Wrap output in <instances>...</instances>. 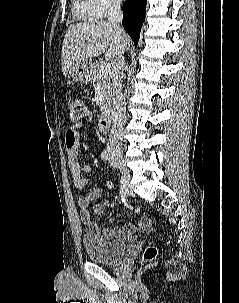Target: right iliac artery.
Wrapping results in <instances>:
<instances>
[{
    "mask_svg": "<svg viewBox=\"0 0 239 303\" xmlns=\"http://www.w3.org/2000/svg\"><path fill=\"white\" fill-rule=\"evenodd\" d=\"M101 158L103 159V160H105V161H107L108 159H109V154H108V152L106 151V150H104L102 153H101ZM121 176H126V171H121ZM119 184L121 185L120 186V189H121V194H122V197H124V196H126V193H127V191H128V185L126 184V179L125 178H120L119 179Z\"/></svg>",
    "mask_w": 239,
    "mask_h": 303,
    "instance_id": "right-iliac-artery-1",
    "label": "right iliac artery"
}]
</instances>
